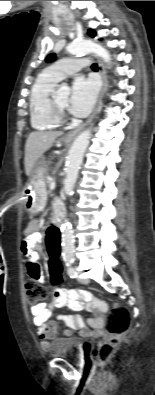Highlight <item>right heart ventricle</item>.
I'll list each match as a JSON object with an SVG mask.
<instances>
[{
	"mask_svg": "<svg viewBox=\"0 0 155 395\" xmlns=\"http://www.w3.org/2000/svg\"><path fill=\"white\" fill-rule=\"evenodd\" d=\"M57 82L47 72H44L37 77L31 88L29 96L30 122L36 130H51L60 124L52 115L49 107V98Z\"/></svg>",
	"mask_w": 155,
	"mask_h": 395,
	"instance_id": "right-heart-ventricle-1",
	"label": "right heart ventricle"
}]
</instances>
